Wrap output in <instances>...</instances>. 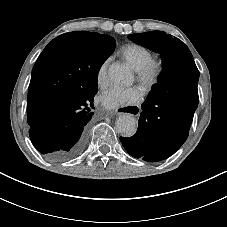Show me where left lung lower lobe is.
Returning <instances> with one entry per match:
<instances>
[{
	"instance_id": "1",
	"label": "left lung lower lobe",
	"mask_w": 227,
	"mask_h": 227,
	"mask_svg": "<svg viewBox=\"0 0 227 227\" xmlns=\"http://www.w3.org/2000/svg\"><path fill=\"white\" fill-rule=\"evenodd\" d=\"M198 79L195 63L182 61L156 85L155 92L142 104L137 132L129 138L120 137L131 156L158 162L182 146L198 106Z\"/></svg>"
}]
</instances>
